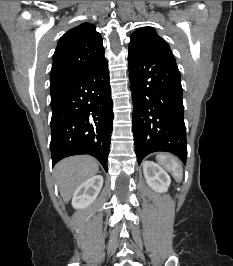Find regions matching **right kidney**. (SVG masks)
I'll list each match as a JSON object with an SVG mask.
<instances>
[{
  "label": "right kidney",
  "mask_w": 233,
  "mask_h": 266,
  "mask_svg": "<svg viewBox=\"0 0 233 266\" xmlns=\"http://www.w3.org/2000/svg\"><path fill=\"white\" fill-rule=\"evenodd\" d=\"M102 185L101 175H96L82 183L73 194L72 206L76 209L88 207L99 195Z\"/></svg>",
  "instance_id": "ca27d5eb"
}]
</instances>
